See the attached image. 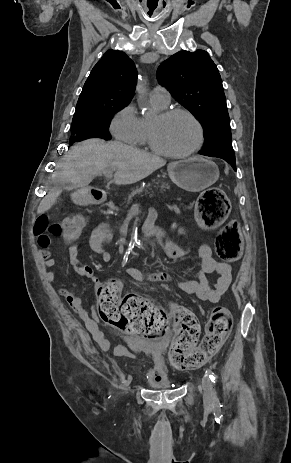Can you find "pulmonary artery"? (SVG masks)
Here are the masks:
<instances>
[{
	"instance_id": "e3ab8cb5",
	"label": "pulmonary artery",
	"mask_w": 291,
	"mask_h": 463,
	"mask_svg": "<svg viewBox=\"0 0 291 463\" xmlns=\"http://www.w3.org/2000/svg\"><path fill=\"white\" fill-rule=\"evenodd\" d=\"M151 98L154 102L166 106L171 100V95L165 87L158 85L152 90Z\"/></svg>"
}]
</instances>
